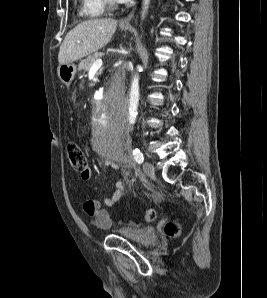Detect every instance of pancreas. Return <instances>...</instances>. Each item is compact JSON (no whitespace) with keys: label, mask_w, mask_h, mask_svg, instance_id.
<instances>
[{"label":"pancreas","mask_w":267,"mask_h":298,"mask_svg":"<svg viewBox=\"0 0 267 298\" xmlns=\"http://www.w3.org/2000/svg\"><path fill=\"white\" fill-rule=\"evenodd\" d=\"M102 56H103V53H101V52H96L93 55L88 56L86 59L82 60L79 63L78 69L84 70V71H89L90 68L92 67V64L94 63V61L101 58Z\"/></svg>","instance_id":"obj_1"}]
</instances>
